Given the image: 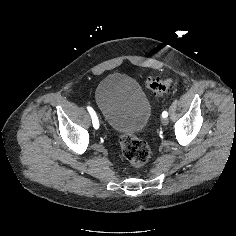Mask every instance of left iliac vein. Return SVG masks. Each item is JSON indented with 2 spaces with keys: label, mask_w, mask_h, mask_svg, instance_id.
<instances>
[{
  "label": "left iliac vein",
  "mask_w": 236,
  "mask_h": 236,
  "mask_svg": "<svg viewBox=\"0 0 236 236\" xmlns=\"http://www.w3.org/2000/svg\"><path fill=\"white\" fill-rule=\"evenodd\" d=\"M168 122H169V120H168V118H166V117H163V118L161 119V124L164 125V126L167 125Z\"/></svg>",
  "instance_id": "left-iliac-vein-1"
}]
</instances>
